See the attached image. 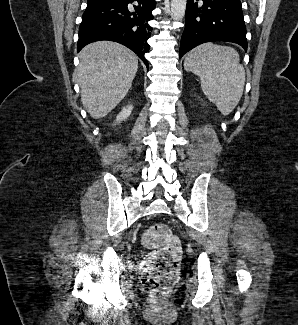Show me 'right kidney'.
Instances as JSON below:
<instances>
[{
    "label": "right kidney",
    "instance_id": "1",
    "mask_svg": "<svg viewBox=\"0 0 298 325\" xmlns=\"http://www.w3.org/2000/svg\"><path fill=\"white\" fill-rule=\"evenodd\" d=\"M132 110H133L132 104H127V106H123L121 112H119V114H117L116 116L117 122H121V120H126V118L130 116Z\"/></svg>",
    "mask_w": 298,
    "mask_h": 325
}]
</instances>
